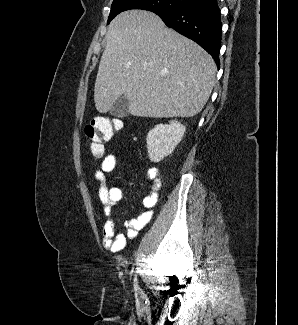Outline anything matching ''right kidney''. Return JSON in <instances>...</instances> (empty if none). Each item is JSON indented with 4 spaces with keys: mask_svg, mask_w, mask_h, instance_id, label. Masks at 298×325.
Segmentation results:
<instances>
[{
    "mask_svg": "<svg viewBox=\"0 0 298 325\" xmlns=\"http://www.w3.org/2000/svg\"><path fill=\"white\" fill-rule=\"evenodd\" d=\"M186 126L179 120H169V124H155L147 134L148 156L152 163H160L164 156L172 154L182 140Z\"/></svg>",
    "mask_w": 298,
    "mask_h": 325,
    "instance_id": "right-kidney-1",
    "label": "right kidney"
}]
</instances>
